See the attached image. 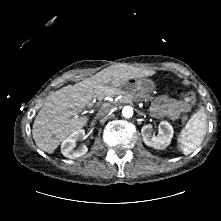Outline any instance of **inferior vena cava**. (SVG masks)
Masks as SVG:
<instances>
[{
  "label": "inferior vena cava",
  "mask_w": 221,
  "mask_h": 221,
  "mask_svg": "<svg viewBox=\"0 0 221 221\" xmlns=\"http://www.w3.org/2000/svg\"><path fill=\"white\" fill-rule=\"evenodd\" d=\"M109 112V108H104L98 111L97 118H101Z\"/></svg>",
  "instance_id": "inferior-vena-cava-1"
}]
</instances>
